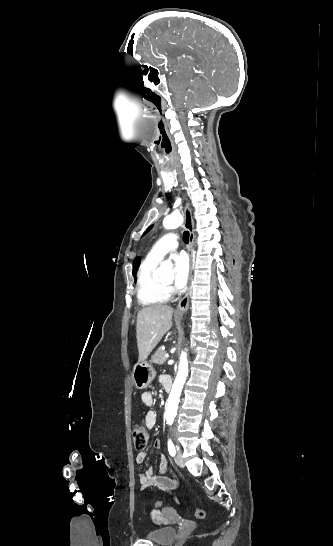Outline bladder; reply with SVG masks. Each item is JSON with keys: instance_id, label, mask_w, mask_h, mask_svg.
<instances>
[{"instance_id": "obj_1", "label": "bladder", "mask_w": 333, "mask_h": 546, "mask_svg": "<svg viewBox=\"0 0 333 546\" xmlns=\"http://www.w3.org/2000/svg\"><path fill=\"white\" fill-rule=\"evenodd\" d=\"M146 538L153 543L169 544L177 538V530L172 526H162L149 531Z\"/></svg>"}]
</instances>
